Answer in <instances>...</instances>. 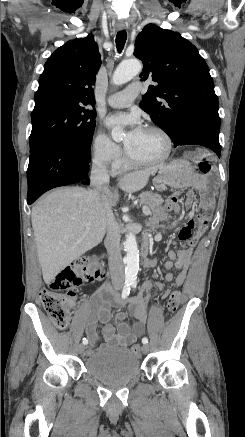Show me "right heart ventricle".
I'll return each mask as SVG.
<instances>
[{
    "label": "right heart ventricle",
    "instance_id": "1",
    "mask_svg": "<svg viewBox=\"0 0 245 437\" xmlns=\"http://www.w3.org/2000/svg\"><path fill=\"white\" fill-rule=\"evenodd\" d=\"M119 167H121V168H127V167H129V163H127V162H122V163L119 165Z\"/></svg>",
    "mask_w": 245,
    "mask_h": 437
}]
</instances>
